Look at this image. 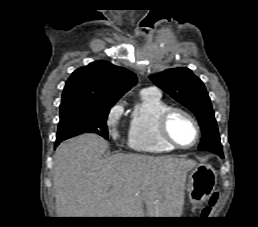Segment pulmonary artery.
Returning <instances> with one entry per match:
<instances>
[{
	"label": "pulmonary artery",
	"instance_id": "obj_1",
	"mask_svg": "<svg viewBox=\"0 0 258 227\" xmlns=\"http://www.w3.org/2000/svg\"><path fill=\"white\" fill-rule=\"evenodd\" d=\"M143 92L159 94L158 90L154 87H149V88L143 89Z\"/></svg>",
	"mask_w": 258,
	"mask_h": 227
}]
</instances>
